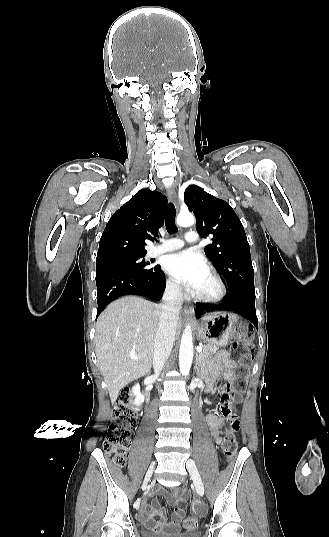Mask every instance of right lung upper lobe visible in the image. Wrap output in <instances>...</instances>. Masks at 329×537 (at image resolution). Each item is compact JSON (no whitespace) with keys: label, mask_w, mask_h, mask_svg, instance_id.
Segmentation results:
<instances>
[{"label":"right lung upper lobe","mask_w":329,"mask_h":537,"mask_svg":"<svg viewBox=\"0 0 329 537\" xmlns=\"http://www.w3.org/2000/svg\"><path fill=\"white\" fill-rule=\"evenodd\" d=\"M167 198L141 189L110 218L101 236L96 265L143 257L145 240L154 241L163 225Z\"/></svg>","instance_id":"1"}]
</instances>
